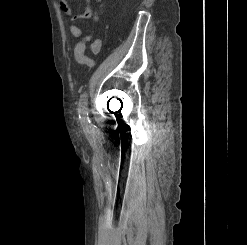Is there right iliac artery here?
I'll list each match as a JSON object with an SVG mask.
<instances>
[{
	"label": "right iliac artery",
	"mask_w": 247,
	"mask_h": 245,
	"mask_svg": "<svg viewBox=\"0 0 247 245\" xmlns=\"http://www.w3.org/2000/svg\"><path fill=\"white\" fill-rule=\"evenodd\" d=\"M87 103H88L87 94L84 93L81 95L79 102V119L85 131H89L91 128V122L88 117Z\"/></svg>",
	"instance_id": "right-iliac-artery-1"
}]
</instances>
